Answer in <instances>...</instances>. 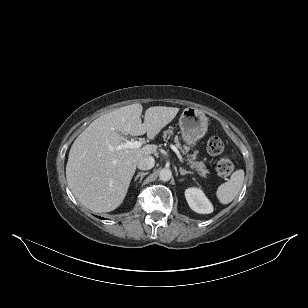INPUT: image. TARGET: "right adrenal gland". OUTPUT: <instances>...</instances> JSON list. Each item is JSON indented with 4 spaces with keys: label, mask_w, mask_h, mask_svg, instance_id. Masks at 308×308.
Wrapping results in <instances>:
<instances>
[{
    "label": "right adrenal gland",
    "mask_w": 308,
    "mask_h": 308,
    "mask_svg": "<svg viewBox=\"0 0 308 308\" xmlns=\"http://www.w3.org/2000/svg\"><path fill=\"white\" fill-rule=\"evenodd\" d=\"M147 174H148L147 172H139V173L137 174V176L134 178V181L136 182V181L138 180V178L140 177V181H139V182H141L142 179H143V177H144L145 175H147Z\"/></svg>",
    "instance_id": "1"
}]
</instances>
